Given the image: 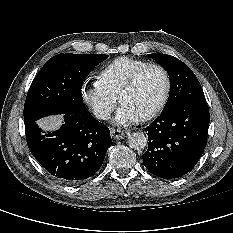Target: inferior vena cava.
Returning a JSON list of instances; mask_svg holds the SVG:
<instances>
[{
	"instance_id": "1",
	"label": "inferior vena cava",
	"mask_w": 233,
	"mask_h": 233,
	"mask_svg": "<svg viewBox=\"0 0 233 233\" xmlns=\"http://www.w3.org/2000/svg\"><path fill=\"white\" fill-rule=\"evenodd\" d=\"M110 114V111L106 108H99L95 111V116L102 120H108L110 118Z\"/></svg>"
}]
</instances>
